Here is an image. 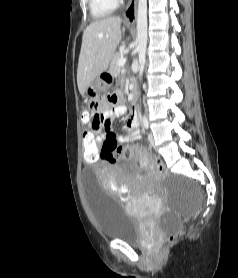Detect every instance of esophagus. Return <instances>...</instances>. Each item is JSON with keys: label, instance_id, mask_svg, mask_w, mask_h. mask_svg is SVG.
Instances as JSON below:
<instances>
[{"label": "esophagus", "instance_id": "34e87169", "mask_svg": "<svg viewBox=\"0 0 238 278\" xmlns=\"http://www.w3.org/2000/svg\"><path fill=\"white\" fill-rule=\"evenodd\" d=\"M137 1L138 0H129L126 7L124 18L128 23H133L136 19Z\"/></svg>", "mask_w": 238, "mask_h": 278}]
</instances>
